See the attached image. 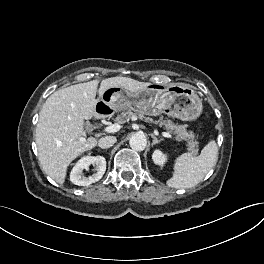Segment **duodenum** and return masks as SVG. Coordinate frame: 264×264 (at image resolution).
I'll return each mask as SVG.
<instances>
[{
    "instance_id": "duodenum-1",
    "label": "duodenum",
    "mask_w": 264,
    "mask_h": 264,
    "mask_svg": "<svg viewBox=\"0 0 264 264\" xmlns=\"http://www.w3.org/2000/svg\"><path fill=\"white\" fill-rule=\"evenodd\" d=\"M101 116H102L101 113H97V114L95 115L94 119L97 120V119L101 118Z\"/></svg>"
}]
</instances>
